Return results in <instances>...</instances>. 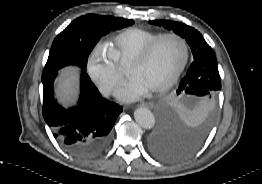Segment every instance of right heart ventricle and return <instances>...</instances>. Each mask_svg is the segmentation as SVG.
<instances>
[{
	"instance_id": "obj_1",
	"label": "right heart ventricle",
	"mask_w": 262,
	"mask_h": 184,
	"mask_svg": "<svg viewBox=\"0 0 262 184\" xmlns=\"http://www.w3.org/2000/svg\"><path fill=\"white\" fill-rule=\"evenodd\" d=\"M160 35L137 27L125 29L112 39L110 53L118 65H129L147 44Z\"/></svg>"
}]
</instances>
